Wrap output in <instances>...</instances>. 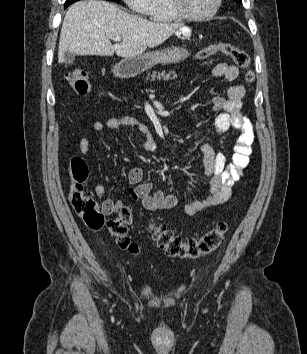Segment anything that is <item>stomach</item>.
Returning a JSON list of instances; mask_svg holds the SVG:
<instances>
[{
	"mask_svg": "<svg viewBox=\"0 0 307 354\" xmlns=\"http://www.w3.org/2000/svg\"><path fill=\"white\" fill-rule=\"evenodd\" d=\"M187 40L189 38H181ZM187 50L180 47H171L158 51L143 53L136 57L124 58L115 65V75L124 78L134 77L159 63H177L188 57Z\"/></svg>",
	"mask_w": 307,
	"mask_h": 354,
	"instance_id": "1",
	"label": "stomach"
}]
</instances>
